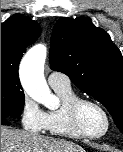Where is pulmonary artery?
<instances>
[{"mask_svg": "<svg viewBox=\"0 0 123 152\" xmlns=\"http://www.w3.org/2000/svg\"><path fill=\"white\" fill-rule=\"evenodd\" d=\"M49 85L54 88H70L71 82L69 77L61 72L52 71L48 76Z\"/></svg>", "mask_w": 123, "mask_h": 152, "instance_id": "obj_1", "label": "pulmonary artery"}]
</instances>
